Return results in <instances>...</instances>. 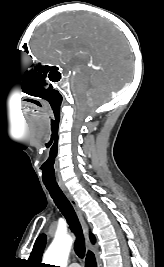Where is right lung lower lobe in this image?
<instances>
[{"label":"right lung lower lobe","mask_w":164,"mask_h":267,"mask_svg":"<svg viewBox=\"0 0 164 267\" xmlns=\"http://www.w3.org/2000/svg\"><path fill=\"white\" fill-rule=\"evenodd\" d=\"M85 267H97L95 256L92 252L87 255Z\"/></svg>","instance_id":"obj_1"}]
</instances>
